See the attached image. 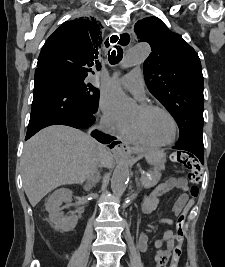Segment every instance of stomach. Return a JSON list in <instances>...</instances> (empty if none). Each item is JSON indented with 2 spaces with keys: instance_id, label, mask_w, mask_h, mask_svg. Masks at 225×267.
<instances>
[{
  "instance_id": "stomach-1",
  "label": "stomach",
  "mask_w": 225,
  "mask_h": 267,
  "mask_svg": "<svg viewBox=\"0 0 225 267\" xmlns=\"http://www.w3.org/2000/svg\"><path fill=\"white\" fill-rule=\"evenodd\" d=\"M146 159L149 163L159 165L165 161L163 153H149L146 154Z\"/></svg>"
}]
</instances>
